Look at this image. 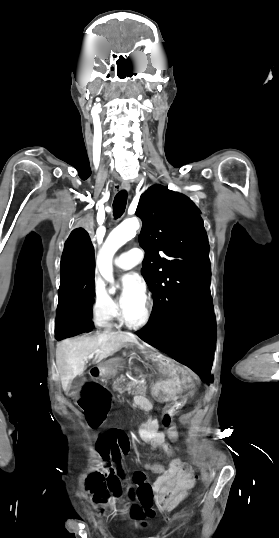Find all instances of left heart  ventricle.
Wrapping results in <instances>:
<instances>
[{"label":"left heart ventricle","mask_w":279,"mask_h":538,"mask_svg":"<svg viewBox=\"0 0 279 538\" xmlns=\"http://www.w3.org/2000/svg\"><path fill=\"white\" fill-rule=\"evenodd\" d=\"M89 218V217H88ZM90 219V218H89ZM122 298V296H121ZM120 298V300H121ZM122 310L125 316L129 319L136 320L141 317L144 311V300L143 299H131L125 304H122Z\"/></svg>","instance_id":"left-heart-ventricle-1"}]
</instances>
